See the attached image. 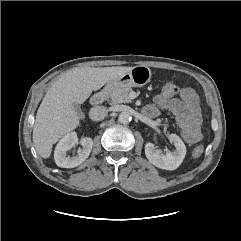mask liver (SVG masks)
Returning <instances> with one entry per match:
<instances>
[{
  "label": "liver",
  "mask_w": 241,
  "mask_h": 241,
  "mask_svg": "<svg viewBox=\"0 0 241 241\" xmlns=\"http://www.w3.org/2000/svg\"><path fill=\"white\" fill-rule=\"evenodd\" d=\"M133 67H81L61 75L48 90L37 111L33 144L42 158L51 155L53 144L77 128L73 104H83L92 91L129 72Z\"/></svg>",
  "instance_id": "6515ba94"
}]
</instances>
